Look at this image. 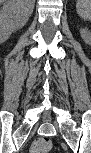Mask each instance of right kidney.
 <instances>
[{
    "label": "right kidney",
    "instance_id": "1",
    "mask_svg": "<svg viewBox=\"0 0 91 153\" xmlns=\"http://www.w3.org/2000/svg\"><path fill=\"white\" fill-rule=\"evenodd\" d=\"M27 0H8L0 10V41L5 42L12 32L23 27L33 12Z\"/></svg>",
    "mask_w": 91,
    "mask_h": 153
}]
</instances>
